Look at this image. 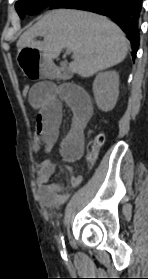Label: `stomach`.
<instances>
[{
	"instance_id": "0dacf381",
	"label": "stomach",
	"mask_w": 148,
	"mask_h": 279,
	"mask_svg": "<svg viewBox=\"0 0 148 279\" xmlns=\"http://www.w3.org/2000/svg\"><path fill=\"white\" fill-rule=\"evenodd\" d=\"M15 59L27 82H55L53 63L44 50H16Z\"/></svg>"
}]
</instances>
